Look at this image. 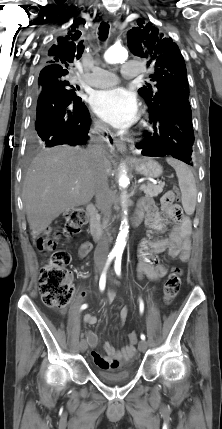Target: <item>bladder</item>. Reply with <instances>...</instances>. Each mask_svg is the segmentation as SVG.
<instances>
[{"label": "bladder", "instance_id": "1", "mask_svg": "<svg viewBox=\"0 0 222 429\" xmlns=\"http://www.w3.org/2000/svg\"><path fill=\"white\" fill-rule=\"evenodd\" d=\"M96 376L104 382L107 383H121L128 381L132 376V371L130 369L121 370L118 372H107L104 370H98Z\"/></svg>", "mask_w": 222, "mask_h": 429}]
</instances>
